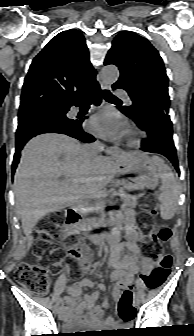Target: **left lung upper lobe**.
<instances>
[{"label":"left lung upper lobe","mask_w":194,"mask_h":336,"mask_svg":"<svg viewBox=\"0 0 194 336\" xmlns=\"http://www.w3.org/2000/svg\"><path fill=\"white\" fill-rule=\"evenodd\" d=\"M114 64L120 78L113 85L126 90L132 105L120 111L136 124L153 116L169 113L168 77L158 51L151 43L129 31L119 33L112 43L104 65Z\"/></svg>","instance_id":"5c2ea615"}]
</instances>
